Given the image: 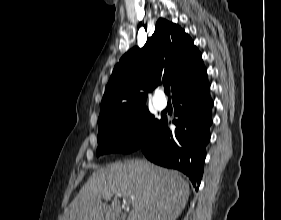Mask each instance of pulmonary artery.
<instances>
[{"mask_svg":"<svg viewBox=\"0 0 281 220\" xmlns=\"http://www.w3.org/2000/svg\"><path fill=\"white\" fill-rule=\"evenodd\" d=\"M153 102H154V105H155L158 109H160V110L166 108V106H167V100H166V98H165V96H164L163 91L159 90V91H157V92L155 93Z\"/></svg>","mask_w":281,"mask_h":220,"instance_id":"e3ab8cb5","label":"pulmonary artery"}]
</instances>
